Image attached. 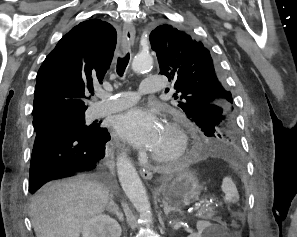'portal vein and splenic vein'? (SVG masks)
Wrapping results in <instances>:
<instances>
[{
    "instance_id": "1",
    "label": "portal vein and splenic vein",
    "mask_w": 297,
    "mask_h": 237,
    "mask_svg": "<svg viewBox=\"0 0 297 237\" xmlns=\"http://www.w3.org/2000/svg\"><path fill=\"white\" fill-rule=\"evenodd\" d=\"M201 207V203H196L195 204V207H194V210H198L199 208Z\"/></svg>"
}]
</instances>
